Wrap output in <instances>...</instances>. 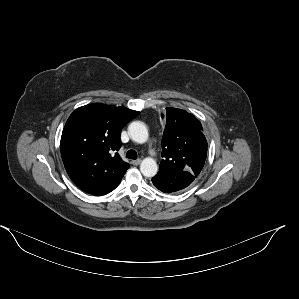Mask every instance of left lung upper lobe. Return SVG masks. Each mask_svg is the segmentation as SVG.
Here are the masks:
<instances>
[{"label":"left lung upper lobe","instance_id":"1","mask_svg":"<svg viewBox=\"0 0 299 299\" xmlns=\"http://www.w3.org/2000/svg\"><path fill=\"white\" fill-rule=\"evenodd\" d=\"M166 114L159 171H186L197 177L207 156L202 125L185 110L168 107Z\"/></svg>","mask_w":299,"mask_h":299}]
</instances>
